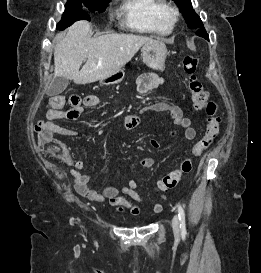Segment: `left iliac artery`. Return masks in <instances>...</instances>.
Returning <instances> with one entry per match:
<instances>
[{
    "label": "left iliac artery",
    "mask_w": 261,
    "mask_h": 273,
    "mask_svg": "<svg viewBox=\"0 0 261 273\" xmlns=\"http://www.w3.org/2000/svg\"><path fill=\"white\" fill-rule=\"evenodd\" d=\"M177 207H178V217L180 221V229L183 234H186L185 212L183 207L180 204H178Z\"/></svg>",
    "instance_id": "left-iliac-artery-1"
}]
</instances>
